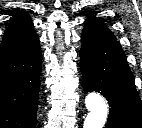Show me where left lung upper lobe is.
Returning <instances> with one entry per match:
<instances>
[{
  "label": "left lung upper lobe",
  "mask_w": 142,
  "mask_h": 128,
  "mask_svg": "<svg viewBox=\"0 0 142 128\" xmlns=\"http://www.w3.org/2000/svg\"><path fill=\"white\" fill-rule=\"evenodd\" d=\"M90 16H93V14H90ZM86 22L104 31L105 33L112 34L108 27L97 18L90 17L86 20Z\"/></svg>",
  "instance_id": "obj_1"
}]
</instances>
